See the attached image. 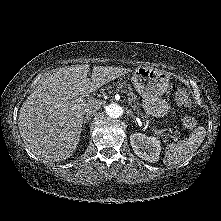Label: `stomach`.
I'll list each match as a JSON object with an SVG mask.
<instances>
[{"mask_svg": "<svg viewBox=\"0 0 221 221\" xmlns=\"http://www.w3.org/2000/svg\"><path fill=\"white\" fill-rule=\"evenodd\" d=\"M132 83L143 98V108L147 115L164 117L170 104L162 95L169 86V75L163 70L139 66L133 71Z\"/></svg>", "mask_w": 221, "mask_h": 221, "instance_id": "0dacf381", "label": "stomach"}]
</instances>
